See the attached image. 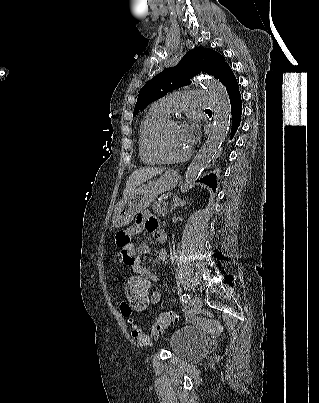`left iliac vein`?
I'll list each match as a JSON object with an SVG mask.
<instances>
[{
	"label": "left iliac vein",
	"mask_w": 319,
	"mask_h": 403,
	"mask_svg": "<svg viewBox=\"0 0 319 403\" xmlns=\"http://www.w3.org/2000/svg\"><path fill=\"white\" fill-rule=\"evenodd\" d=\"M191 305L193 306V309L196 313L200 312V309L202 307V300L198 295H194L192 300H191Z\"/></svg>",
	"instance_id": "1"
}]
</instances>
